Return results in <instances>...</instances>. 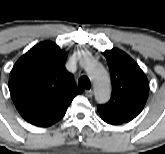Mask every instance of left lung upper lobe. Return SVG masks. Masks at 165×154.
I'll list each match as a JSON object with an SVG mask.
<instances>
[{
	"instance_id": "5c2ea615",
	"label": "left lung upper lobe",
	"mask_w": 165,
	"mask_h": 154,
	"mask_svg": "<svg viewBox=\"0 0 165 154\" xmlns=\"http://www.w3.org/2000/svg\"><path fill=\"white\" fill-rule=\"evenodd\" d=\"M111 74L112 94L107 104L97 107L105 121L125 123L134 119L144 108L149 93L146 75L138 64L123 51L106 50Z\"/></svg>"
}]
</instances>
